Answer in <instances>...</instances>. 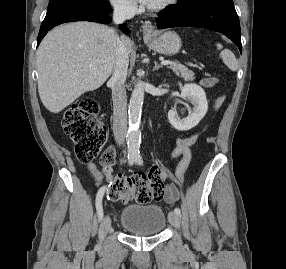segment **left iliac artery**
Returning <instances> with one entry per match:
<instances>
[{"label":"left iliac artery","mask_w":286,"mask_h":269,"mask_svg":"<svg viewBox=\"0 0 286 269\" xmlns=\"http://www.w3.org/2000/svg\"><path fill=\"white\" fill-rule=\"evenodd\" d=\"M135 161H136L139 165H142V163H143L142 157H141L140 155H138V156L135 157ZM174 212H175L176 214H178V215L181 213V211H180L179 208H175V209H174Z\"/></svg>","instance_id":"obj_1"}]
</instances>
